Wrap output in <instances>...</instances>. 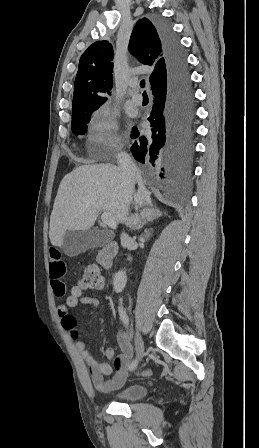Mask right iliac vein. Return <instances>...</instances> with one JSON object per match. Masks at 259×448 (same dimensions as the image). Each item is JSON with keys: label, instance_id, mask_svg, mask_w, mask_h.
<instances>
[{"label": "right iliac vein", "instance_id": "1", "mask_svg": "<svg viewBox=\"0 0 259 448\" xmlns=\"http://www.w3.org/2000/svg\"><path fill=\"white\" fill-rule=\"evenodd\" d=\"M135 349H136L137 358L139 360H141L144 357V342L139 333H136Z\"/></svg>", "mask_w": 259, "mask_h": 448}]
</instances>
